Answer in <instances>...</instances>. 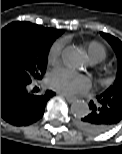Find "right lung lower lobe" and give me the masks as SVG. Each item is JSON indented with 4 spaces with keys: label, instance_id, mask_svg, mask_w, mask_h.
<instances>
[{
    "label": "right lung lower lobe",
    "instance_id": "right-lung-lower-lobe-1",
    "mask_svg": "<svg viewBox=\"0 0 122 154\" xmlns=\"http://www.w3.org/2000/svg\"><path fill=\"white\" fill-rule=\"evenodd\" d=\"M31 82L16 76L1 74V117L9 124L27 126L39 120L47 101L55 95L52 91L35 94L29 91Z\"/></svg>",
    "mask_w": 122,
    "mask_h": 154
}]
</instances>
